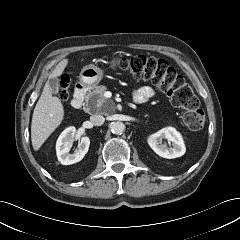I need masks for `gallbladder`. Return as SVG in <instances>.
Instances as JSON below:
<instances>
[{"mask_svg": "<svg viewBox=\"0 0 240 240\" xmlns=\"http://www.w3.org/2000/svg\"><path fill=\"white\" fill-rule=\"evenodd\" d=\"M50 90L53 94H57L59 91V81L57 78H52L48 81Z\"/></svg>", "mask_w": 240, "mask_h": 240, "instance_id": "bac80fb5", "label": "gallbladder"}]
</instances>
